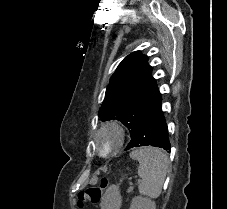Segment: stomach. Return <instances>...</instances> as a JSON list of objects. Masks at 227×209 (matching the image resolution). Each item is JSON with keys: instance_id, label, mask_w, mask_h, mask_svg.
<instances>
[{"instance_id": "0dacf381", "label": "stomach", "mask_w": 227, "mask_h": 209, "mask_svg": "<svg viewBox=\"0 0 227 209\" xmlns=\"http://www.w3.org/2000/svg\"><path fill=\"white\" fill-rule=\"evenodd\" d=\"M121 206V196L118 186L111 185L104 193L101 201V209H119Z\"/></svg>"}]
</instances>
